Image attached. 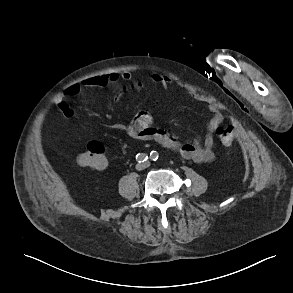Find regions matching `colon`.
Segmentation results:
<instances>
[{
	"instance_id": "1",
	"label": "colon",
	"mask_w": 293,
	"mask_h": 293,
	"mask_svg": "<svg viewBox=\"0 0 293 293\" xmlns=\"http://www.w3.org/2000/svg\"><path fill=\"white\" fill-rule=\"evenodd\" d=\"M216 135L224 146H229L234 139V129L231 125H223L216 129ZM78 163L82 167L95 170L104 169L108 161L105 157V147L100 141L89 142L85 150L79 154Z\"/></svg>"
}]
</instances>
